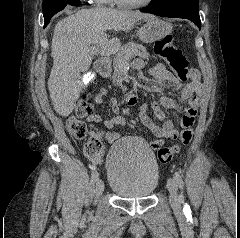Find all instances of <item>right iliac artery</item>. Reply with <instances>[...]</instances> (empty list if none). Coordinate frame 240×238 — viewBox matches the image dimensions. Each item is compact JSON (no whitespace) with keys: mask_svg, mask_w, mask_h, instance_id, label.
Returning <instances> with one entry per match:
<instances>
[{"mask_svg":"<svg viewBox=\"0 0 240 238\" xmlns=\"http://www.w3.org/2000/svg\"><path fill=\"white\" fill-rule=\"evenodd\" d=\"M98 176H99V174L96 170L92 172V182L93 183L97 181Z\"/></svg>","mask_w":240,"mask_h":238,"instance_id":"obj_1","label":"right iliac artery"}]
</instances>
